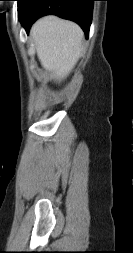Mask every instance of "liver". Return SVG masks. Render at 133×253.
I'll use <instances>...</instances> for the list:
<instances>
[{
	"label": "liver",
	"instance_id": "1",
	"mask_svg": "<svg viewBox=\"0 0 133 253\" xmlns=\"http://www.w3.org/2000/svg\"><path fill=\"white\" fill-rule=\"evenodd\" d=\"M30 35L44 69L59 81L67 77L83 49L82 29L74 22L46 16L34 23Z\"/></svg>",
	"mask_w": 133,
	"mask_h": 253
}]
</instances>
